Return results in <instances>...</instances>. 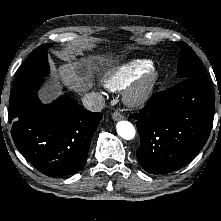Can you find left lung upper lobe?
Masks as SVG:
<instances>
[{
    "label": "left lung upper lobe",
    "mask_w": 221,
    "mask_h": 221,
    "mask_svg": "<svg viewBox=\"0 0 221 221\" xmlns=\"http://www.w3.org/2000/svg\"><path fill=\"white\" fill-rule=\"evenodd\" d=\"M177 44L181 49L178 61V76L180 79L183 80L189 77L207 78L201 63L192 48L183 42Z\"/></svg>",
    "instance_id": "1"
}]
</instances>
